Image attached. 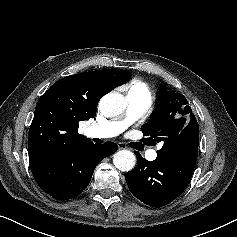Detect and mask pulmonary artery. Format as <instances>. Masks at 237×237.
<instances>
[{"mask_svg":"<svg viewBox=\"0 0 237 237\" xmlns=\"http://www.w3.org/2000/svg\"><path fill=\"white\" fill-rule=\"evenodd\" d=\"M150 95L128 92L126 96V115L123 119L111 120L104 124L91 125L87 129V135L91 138H111L121 134L131 123L141 117L151 105ZM157 156L155 150L147 154L149 160Z\"/></svg>","mask_w":237,"mask_h":237,"instance_id":"pulmonary-artery-1","label":"pulmonary artery"}]
</instances>
